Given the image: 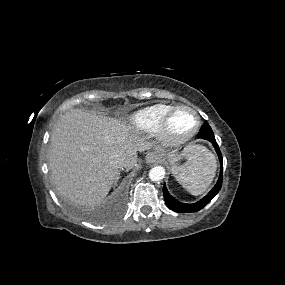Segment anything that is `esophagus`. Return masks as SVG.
I'll return each mask as SVG.
<instances>
[{"label":"esophagus","instance_id":"obj_1","mask_svg":"<svg viewBox=\"0 0 285 285\" xmlns=\"http://www.w3.org/2000/svg\"><path fill=\"white\" fill-rule=\"evenodd\" d=\"M145 159H146V161H147L148 163H153V162H155L158 158H157V156H156L155 153H153V152H148V153L146 154Z\"/></svg>","mask_w":285,"mask_h":285}]
</instances>
